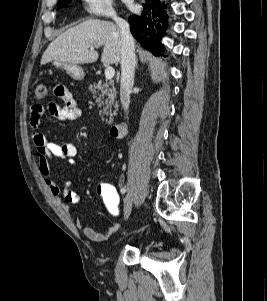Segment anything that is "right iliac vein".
<instances>
[{
  "label": "right iliac vein",
  "instance_id": "1",
  "mask_svg": "<svg viewBox=\"0 0 267 301\" xmlns=\"http://www.w3.org/2000/svg\"><path fill=\"white\" fill-rule=\"evenodd\" d=\"M132 209V193L128 192L124 202V217L128 219Z\"/></svg>",
  "mask_w": 267,
  "mask_h": 301
}]
</instances>
